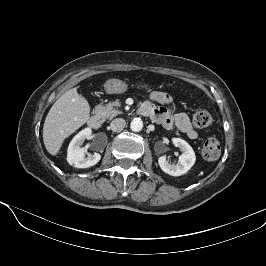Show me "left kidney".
Masks as SVG:
<instances>
[{
  "mask_svg": "<svg viewBox=\"0 0 266 266\" xmlns=\"http://www.w3.org/2000/svg\"><path fill=\"white\" fill-rule=\"evenodd\" d=\"M172 141L182 152L179 156L178 163L171 164L167 161L166 156H161L158 159V164L163 172L171 176H181L194 165L196 156L192 147L185 140L173 138Z\"/></svg>",
  "mask_w": 266,
  "mask_h": 266,
  "instance_id": "1",
  "label": "left kidney"
}]
</instances>
